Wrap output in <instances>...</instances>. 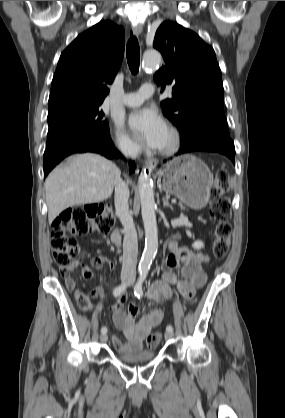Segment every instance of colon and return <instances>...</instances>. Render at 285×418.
<instances>
[{"instance_id":"obj_1","label":"colon","mask_w":285,"mask_h":418,"mask_svg":"<svg viewBox=\"0 0 285 418\" xmlns=\"http://www.w3.org/2000/svg\"><path fill=\"white\" fill-rule=\"evenodd\" d=\"M228 186L224 173H219L212 187L213 201L209 206V214L216 223L213 232L212 256L223 259L229 250V238L231 234V210L227 200ZM115 219L109 209L98 204L70 207L64 210L53 222L51 231V246L56 263L60 267L62 276H65L66 267L72 265L80 252L78 235L92 233H107L114 225ZM94 268H102L107 264L100 256H94L90 260ZM81 272L85 277L91 276L90 267L82 265ZM74 287V286H73ZM77 299L86 303L88 296L81 290L76 291ZM161 340V335L155 333L146 340L148 349L155 348Z\"/></svg>"}]
</instances>
